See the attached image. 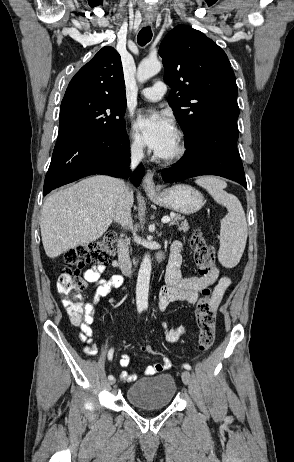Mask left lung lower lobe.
<instances>
[{
	"label": "left lung lower lobe",
	"mask_w": 294,
	"mask_h": 462,
	"mask_svg": "<svg viewBox=\"0 0 294 462\" xmlns=\"http://www.w3.org/2000/svg\"><path fill=\"white\" fill-rule=\"evenodd\" d=\"M238 115L239 108L233 105L213 114L198 134L185 143L188 154L162 171L163 180L172 183L199 175H217L247 188L236 146Z\"/></svg>",
	"instance_id": "left-lung-lower-lobe-1"
}]
</instances>
